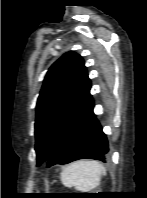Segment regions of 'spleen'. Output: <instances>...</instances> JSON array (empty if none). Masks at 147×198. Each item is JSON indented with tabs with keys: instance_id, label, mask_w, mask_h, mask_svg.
<instances>
[{
	"instance_id": "spleen-1",
	"label": "spleen",
	"mask_w": 147,
	"mask_h": 198,
	"mask_svg": "<svg viewBox=\"0 0 147 198\" xmlns=\"http://www.w3.org/2000/svg\"><path fill=\"white\" fill-rule=\"evenodd\" d=\"M106 175L105 167L94 160H81L69 164L61 172V182L65 187H74L87 193L100 184L101 176Z\"/></svg>"
}]
</instances>
